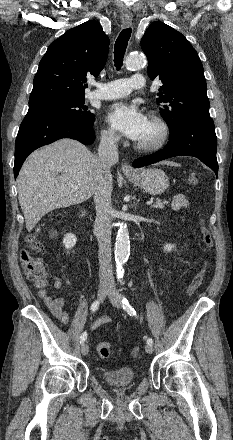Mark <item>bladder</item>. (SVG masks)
<instances>
[{
	"mask_svg": "<svg viewBox=\"0 0 233 440\" xmlns=\"http://www.w3.org/2000/svg\"><path fill=\"white\" fill-rule=\"evenodd\" d=\"M102 376L105 382L113 387L129 386L135 379L134 370L130 367L106 370Z\"/></svg>",
	"mask_w": 233,
	"mask_h": 440,
	"instance_id": "31cf9c89",
	"label": "bladder"
}]
</instances>
